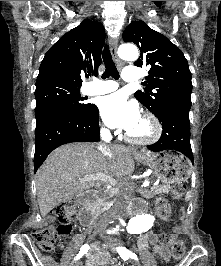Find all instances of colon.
I'll use <instances>...</instances> for the list:
<instances>
[{"label": "colon", "instance_id": "colon-1", "mask_svg": "<svg viewBox=\"0 0 221 266\" xmlns=\"http://www.w3.org/2000/svg\"><path fill=\"white\" fill-rule=\"evenodd\" d=\"M186 190L184 184H177L174 187L173 198L178 200L181 198ZM76 204L74 201H66L56 206L52 214L59 220V225L54 227H46L35 230L32 233L33 238L38 243L39 247L45 251H53L55 249L58 236L69 235L73 226L71 222L75 219ZM158 215L162 220H169L171 216L170 204L166 200H159L157 202ZM161 245L172 244V257L174 260H179L185 253V244L182 240H174L172 234L161 233L158 236Z\"/></svg>", "mask_w": 221, "mask_h": 266}]
</instances>
